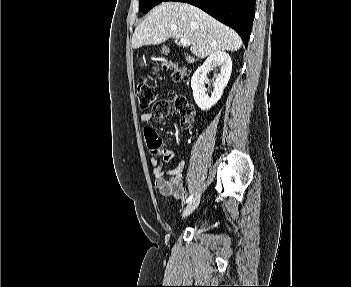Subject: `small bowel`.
Instances as JSON below:
<instances>
[{
  "label": "small bowel",
  "mask_w": 351,
  "mask_h": 287,
  "mask_svg": "<svg viewBox=\"0 0 351 287\" xmlns=\"http://www.w3.org/2000/svg\"><path fill=\"white\" fill-rule=\"evenodd\" d=\"M140 120L144 123L142 124V129L145 145H147L149 155L152 156L150 164L156 188L163 195L170 196L176 200H183L186 195V186L183 180L185 162L179 161L175 168L164 171V164L173 161L175 154L171 149L162 146L161 133L156 132V127H153V124H148L153 120L160 124H165V121L157 118L153 113L142 114Z\"/></svg>",
  "instance_id": "obj_1"
}]
</instances>
